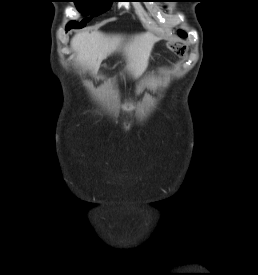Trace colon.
<instances>
[{"label": "colon", "mask_w": 258, "mask_h": 275, "mask_svg": "<svg viewBox=\"0 0 258 275\" xmlns=\"http://www.w3.org/2000/svg\"><path fill=\"white\" fill-rule=\"evenodd\" d=\"M168 48L178 56H183L186 53V46L181 43H169Z\"/></svg>", "instance_id": "colon-1"}]
</instances>
